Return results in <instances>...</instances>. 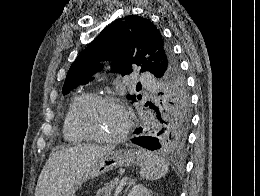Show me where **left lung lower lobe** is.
Wrapping results in <instances>:
<instances>
[{"label":"left lung lower lobe","mask_w":260,"mask_h":196,"mask_svg":"<svg viewBox=\"0 0 260 196\" xmlns=\"http://www.w3.org/2000/svg\"><path fill=\"white\" fill-rule=\"evenodd\" d=\"M142 133V128L137 129L134 134ZM133 143L138 144L149 150H158L159 142L156 138L151 136H140L132 140Z\"/></svg>","instance_id":"0a47b994"}]
</instances>
